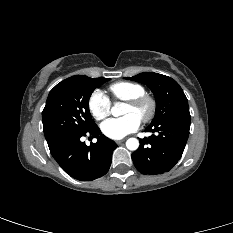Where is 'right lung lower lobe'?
<instances>
[{"instance_id": "98d812e1", "label": "right lung lower lobe", "mask_w": 233, "mask_h": 233, "mask_svg": "<svg viewBox=\"0 0 233 233\" xmlns=\"http://www.w3.org/2000/svg\"><path fill=\"white\" fill-rule=\"evenodd\" d=\"M91 135L96 143L87 146L81 137ZM50 152L61 168L70 176L86 181L105 175L111 165L117 144L104 136L97 125L86 132L60 136L48 142Z\"/></svg>"}]
</instances>
